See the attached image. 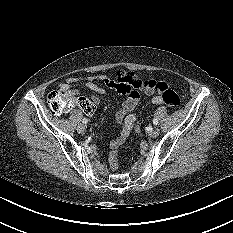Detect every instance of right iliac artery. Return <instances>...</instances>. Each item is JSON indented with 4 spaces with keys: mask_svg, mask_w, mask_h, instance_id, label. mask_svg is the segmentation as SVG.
Wrapping results in <instances>:
<instances>
[{
    "mask_svg": "<svg viewBox=\"0 0 233 233\" xmlns=\"http://www.w3.org/2000/svg\"><path fill=\"white\" fill-rule=\"evenodd\" d=\"M82 122H83L84 124H87V123H88V119H87V118H84V119L82 120Z\"/></svg>",
    "mask_w": 233,
    "mask_h": 233,
    "instance_id": "obj_1",
    "label": "right iliac artery"
}]
</instances>
